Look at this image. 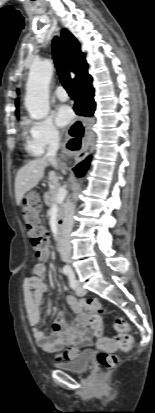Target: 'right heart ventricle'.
<instances>
[{"label": "right heart ventricle", "instance_id": "1", "mask_svg": "<svg viewBox=\"0 0 155 413\" xmlns=\"http://www.w3.org/2000/svg\"><path fill=\"white\" fill-rule=\"evenodd\" d=\"M22 137H23V139H24V148H25V151H26L28 154L32 155V156L38 155V153L35 151L32 143H31V141H30V138H29L28 133H27V131H26L25 128L23 129Z\"/></svg>", "mask_w": 155, "mask_h": 413}]
</instances>
